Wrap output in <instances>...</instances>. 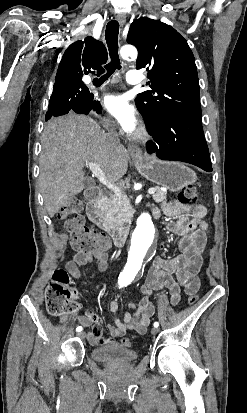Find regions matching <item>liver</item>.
<instances>
[{
	"instance_id": "obj_1",
	"label": "liver",
	"mask_w": 247,
	"mask_h": 413,
	"mask_svg": "<svg viewBox=\"0 0 247 413\" xmlns=\"http://www.w3.org/2000/svg\"><path fill=\"white\" fill-rule=\"evenodd\" d=\"M103 128L85 114L69 112L51 118L42 132L39 184L49 217L68 198L83 190L85 162H96L110 182L128 168V150L121 142H108Z\"/></svg>"
}]
</instances>
